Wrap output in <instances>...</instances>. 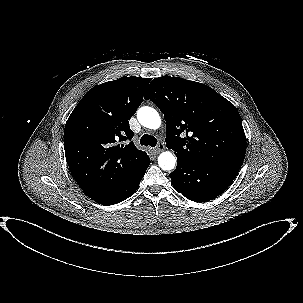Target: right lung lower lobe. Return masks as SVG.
Instances as JSON below:
<instances>
[{
    "label": "right lung lower lobe",
    "mask_w": 303,
    "mask_h": 303,
    "mask_svg": "<svg viewBox=\"0 0 303 303\" xmlns=\"http://www.w3.org/2000/svg\"><path fill=\"white\" fill-rule=\"evenodd\" d=\"M149 164H150V159L128 183H126L124 186L114 191L113 193L95 201L98 202L99 204L108 206V205L117 204L125 200L126 198L130 197L137 190L139 183L143 178Z\"/></svg>",
    "instance_id": "98d812e1"
}]
</instances>
